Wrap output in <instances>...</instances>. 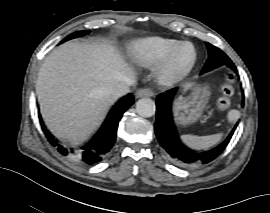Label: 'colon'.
<instances>
[{"mask_svg":"<svg viewBox=\"0 0 270 213\" xmlns=\"http://www.w3.org/2000/svg\"><path fill=\"white\" fill-rule=\"evenodd\" d=\"M233 79L234 77L232 74L228 75L225 82L220 87L217 104L222 109L228 108L231 104V98L234 95Z\"/></svg>","mask_w":270,"mask_h":213,"instance_id":"5ec220e1","label":"colon"}]
</instances>
